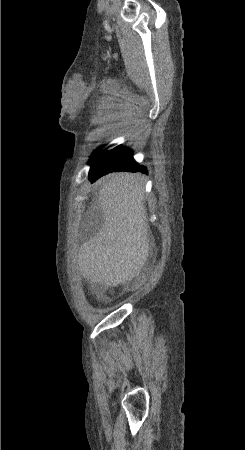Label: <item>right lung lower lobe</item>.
<instances>
[{
    "label": "right lung lower lobe",
    "instance_id": "98d812e1",
    "mask_svg": "<svg viewBox=\"0 0 245 450\" xmlns=\"http://www.w3.org/2000/svg\"><path fill=\"white\" fill-rule=\"evenodd\" d=\"M143 171L147 173L146 167L139 166L132 156L129 149L118 150L109 153L94 168L90 169L89 180L94 182L101 176L113 171Z\"/></svg>",
    "mask_w": 245,
    "mask_h": 450
}]
</instances>
